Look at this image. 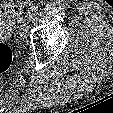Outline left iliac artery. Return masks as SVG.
Instances as JSON below:
<instances>
[{
	"label": "left iliac artery",
	"instance_id": "44dca946",
	"mask_svg": "<svg viewBox=\"0 0 113 113\" xmlns=\"http://www.w3.org/2000/svg\"><path fill=\"white\" fill-rule=\"evenodd\" d=\"M37 11H38V7L36 5H33L29 10L30 17L32 18L33 15L37 13Z\"/></svg>",
	"mask_w": 113,
	"mask_h": 113
}]
</instances>
